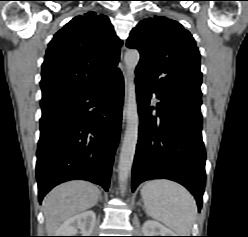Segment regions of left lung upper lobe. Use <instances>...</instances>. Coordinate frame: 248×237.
Instances as JSON below:
<instances>
[{"instance_id": "5c2ea615", "label": "left lung upper lobe", "mask_w": 248, "mask_h": 237, "mask_svg": "<svg viewBox=\"0 0 248 237\" xmlns=\"http://www.w3.org/2000/svg\"><path fill=\"white\" fill-rule=\"evenodd\" d=\"M126 45L140 52L136 79L163 97L201 99L200 53L180 23L158 16L144 19L132 29Z\"/></svg>"}]
</instances>
